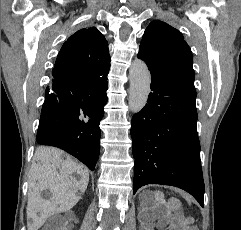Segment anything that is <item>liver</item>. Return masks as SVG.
<instances>
[{"mask_svg":"<svg viewBox=\"0 0 241 230\" xmlns=\"http://www.w3.org/2000/svg\"><path fill=\"white\" fill-rule=\"evenodd\" d=\"M74 173L80 179L74 177ZM88 182V169L63 151L53 147L37 148L28 191V230H38L50 215L73 208L87 189ZM43 189L52 193L50 200L41 197Z\"/></svg>","mask_w":241,"mask_h":230,"instance_id":"1","label":"liver"}]
</instances>
